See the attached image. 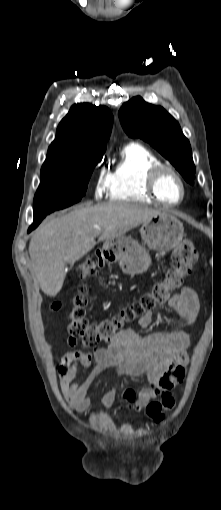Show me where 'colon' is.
<instances>
[{
    "mask_svg": "<svg viewBox=\"0 0 221 510\" xmlns=\"http://www.w3.org/2000/svg\"><path fill=\"white\" fill-rule=\"evenodd\" d=\"M197 259L198 253L193 242L190 240L182 241L174 249L170 266L166 269L163 278L154 282L149 291L137 301L123 308L117 314L98 322L91 321L88 318L87 289L80 286L76 295L72 298L67 313L70 320L69 333L72 337L80 339L86 347L114 342L119 333L127 329L136 319L156 306L165 303L172 292L180 287L186 277L189 276ZM98 264L97 256L91 255L85 258L78 267L81 278L88 280L93 277ZM60 307V303L52 305L54 310H58ZM174 407L175 399L173 396L164 395L160 400L150 402L146 407V413L154 422H160L164 419L165 412L172 410Z\"/></svg>",
    "mask_w": 221,
    "mask_h": 510,
    "instance_id": "1",
    "label": "colon"
}]
</instances>
